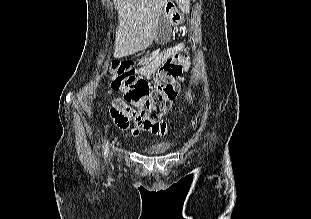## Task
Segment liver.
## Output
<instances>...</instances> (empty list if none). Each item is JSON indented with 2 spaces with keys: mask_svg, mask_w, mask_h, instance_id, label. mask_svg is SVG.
<instances>
[{
  "mask_svg": "<svg viewBox=\"0 0 311 219\" xmlns=\"http://www.w3.org/2000/svg\"><path fill=\"white\" fill-rule=\"evenodd\" d=\"M169 0H114L119 11V30L115 39V57L146 49L157 36L158 21ZM180 9L189 11V0H176Z\"/></svg>",
  "mask_w": 311,
  "mask_h": 219,
  "instance_id": "obj_1",
  "label": "liver"
}]
</instances>
